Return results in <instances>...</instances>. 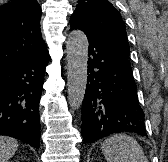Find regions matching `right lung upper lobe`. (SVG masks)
<instances>
[{"mask_svg":"<svg viewBox=\"0 0 168 162\" xmlns=\"http://www.w3.org/2000/svg\"><path fill=\"white\" fill-rule=\"evenodd\" d=\"M36 0H9L0 7V71L47 52Z\"/></svg>","mask_w":168,"mask_h":162,"instance_id":"cb5924a9","label":"right lung upper lobe"}]
</instances>
